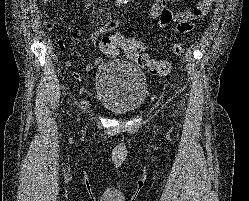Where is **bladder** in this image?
Instances as JSON below:
<instances>
[{"label":"bladder","mask_w":249,"mask_h":201,"mask_svg":"<svg viewBox=\"0 0 249 201\" xmlns=\"http://www.w3.org/2000/svg\"><path fill=\"white\" fill-rule=\"evenodd\" d=\"M97 101L115 115L139 110L147 96L145 74L131 61L116 57L103 60L96 71Z\"/></svg>","instance_id":"obj_1"}]
</instances>
